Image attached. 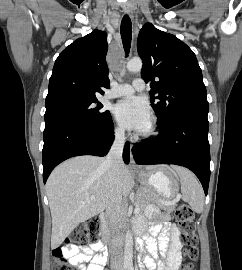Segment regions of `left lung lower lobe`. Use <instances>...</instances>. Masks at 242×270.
I'll return each instance as SVG.
<instances>
[{
  "instance_id": "1",
  "label": "left lung lower lobe",
  "mask_w": 242,
  "mask_h": 270,
  "mask_svg": "<svg viewBox=\"0 0 242 270\" xmlns=\"http://www.w3.org/2000/svg\"><path fill=\"white\" fill-rule=\"evenodd\" d=\"M207 114L180 115L158 125L159 136L144 139L132 148L140 165L175 164L190 169L199 178L207 195L210 179V151Z\"/></svg>"
}]
</instances>
